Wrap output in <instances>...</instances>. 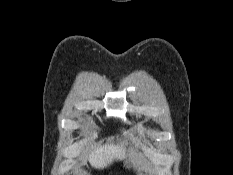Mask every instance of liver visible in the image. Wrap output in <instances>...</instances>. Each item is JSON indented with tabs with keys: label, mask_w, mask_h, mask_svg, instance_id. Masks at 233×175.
<instances>
[{
	"label": "liver",
	"mask_w": 233,
	"mask_h": 175,
	"mask_svg": "<svg viewBox=\"0 0 233 175\" xmlns=\"http://www.w3.org/2000/svg\"><path fill=\"white\" fill-rule=\"evenodd\" d=\"M126 157V150L123 145L98 146L89 156V162L96 169H104L114 160H122Z\"/></svg>",
	"instance_id": "liver-1"
}]
</instances>
